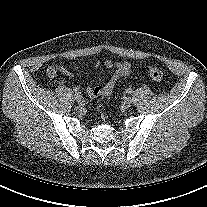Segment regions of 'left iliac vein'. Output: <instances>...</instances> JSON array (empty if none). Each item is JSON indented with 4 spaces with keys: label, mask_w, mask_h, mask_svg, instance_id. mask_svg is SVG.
Instances as JSON below:
<instances>
[{
    "label": "left iliac vein",
    "mask_w": 207,
    "mask_h": 207,
    "mask_svg": "<svg viewBox=\"0 0 207 207\" xmlns=\"http://www.w3.org/2000/svg\"><path fill=\"white\" fill-rule=\"evenodd\" d=\"M131 105H132V99L130 97H126L122 102V106L126 109L131 107Z\"/></svg>",
    "instance_id": "left-iliac-vein-1"
}]
</instances>
